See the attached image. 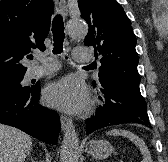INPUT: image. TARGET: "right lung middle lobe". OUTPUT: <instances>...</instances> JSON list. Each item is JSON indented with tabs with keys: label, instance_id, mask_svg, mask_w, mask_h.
<instances>
[{
	"label": "right lung middle lobe",
	"instance_id": "obj_1",
	"mask_svg": "<svg viewBox=\"0 0 168 162\" xmlns=\"http://www.w3.org/2000/svg\"><path fill=\"white\" fill-rule=\"evenodd\" d=\"M24 74L25 73H17V74H8V75L0 76V89L6 88L9 86L21 85V81L23 80ZM22 87L28 88L25 86H22Z\"/></svg>",
	"mask_w": 168,
	"mask_h": 162
}]
</instances>
